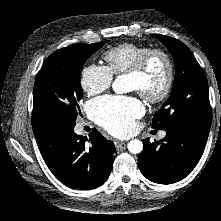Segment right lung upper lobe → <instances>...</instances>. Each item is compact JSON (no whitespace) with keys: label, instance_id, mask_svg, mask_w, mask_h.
Segmentation results:
<instances>
[{"label":"right lung upper lobe","instance_id":"1","mask_svg":"<svg viewBox=\"0 0 221 221\" xmlns=\"http://www.w3.org/2000/svg\"><path fill=\"white\" fill-rule=\"evenodd\" d=\"M46 126H47L46 123L37 121L35 115L34 114L32 115V127H33L34 133L41 130L42 128Z\"/></svg>","mask_w":221,"mask_h":221}]
</instances>
